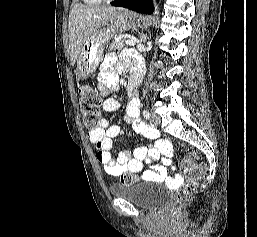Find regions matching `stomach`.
<instances>
[{
  "mask_svg": "<svg viewBox=\"0 0 257 237\" xmlns=\"http://www.w3.org/2000/svg\"><path fill=\"white\" fill-rule=\"evenodd\" d=\"M135 24V15L131 12H115L104 26L97 29L84 43L77 61V76L88 78L102 60L109 41L117 34L127 31Z\"/></svg>",
  "mask_w": 257,
  "mask_h": 237,
  "instance_id": "obj_1",
  "label": "stomach"
}]
</instances>
